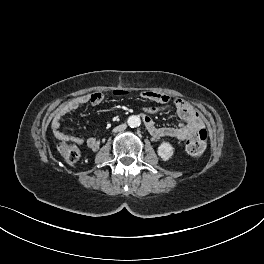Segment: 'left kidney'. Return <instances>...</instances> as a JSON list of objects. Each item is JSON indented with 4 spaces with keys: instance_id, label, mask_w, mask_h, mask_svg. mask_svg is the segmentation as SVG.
I'll use <instances>...</instances> for the list:
<instances>
[{
    "instance_id": "1",
    "label": "left kidney",
    "mask_w": 264,
    "mask_h": 264,
    "mask_svg": "<svg viewBox=\"0 0 264 264\" xmlns=\"http://www.w3.org/2000/svg\"><path fill=\"white\" fill-rule=\"evenodd\" d=\"M158 155L164 160H169L174 154V148L169 142H162L158 147Z\"/></svg>"
}]
</instances>
